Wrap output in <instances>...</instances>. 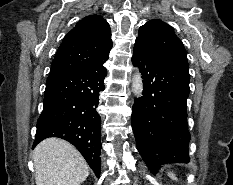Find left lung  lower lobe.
<instances>
[{
    "mask_svg": "<svg viewBox=\"0 0 233 185\" xmlns=\"http://www.w3.org/2000/svg\"><path fill=\"white\" fill-rule=\"evenodd\" d=\"M132 62L143 75V96L135 100L131 124L136 145L151 172L162 164L189 162L186 100L188 64L135 42Z\"/></svg>",
    "mask_w": 233,
    "mask_h": 185,
    "instance_id": "1",
    "label": "left lung lower lobe"
}]
</instances>
